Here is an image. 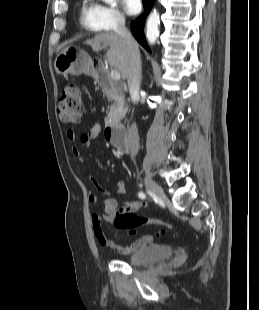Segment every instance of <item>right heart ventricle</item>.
Here are the masks:
<instances>
[{"label": "right heart ventricle", "mask_w": 259, "mask_h": 310, "mask_svg": "<svg viewBox=\"0 0 259 310\" xmlns=\"http://www.w3.org/2000/svg\"><path fill=\"white\" fill-rule=\"evenodd\" d=\"M80 23L88 31H97L100 29L94 18V5L90 0H83L82 2Z\"/></svg>", "instance_id": "1"}]
</instances>
